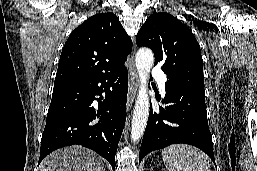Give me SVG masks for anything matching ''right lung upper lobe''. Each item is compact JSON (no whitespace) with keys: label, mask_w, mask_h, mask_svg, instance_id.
I'll list each match as a JSON object with an SVG mask.
<instances>
[{"label":"right lung upper lobe","mask_w":257,"mask_h":171,"mask_svg":"<svg viewBox=\"0 0 257 171\" xmlns=\"http://www.w3.org/2000/svg\"><path fill=\"white\" fill-rule=\"evenodd\" d=\"M132 42L113 13L90 17L70 34L54 85L78 82L112 72L127 60Z\"/></svg>","instance_id":"1"}]
</instances>
